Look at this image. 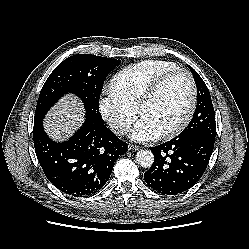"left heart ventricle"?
<instances>
[{
    "label": "left heart ventricle",
    "instance_id": "left-heart-ventricle-1",
    "mask_svg": "<svg viewBox=\"0 0 249 249\" xmlns=\"http://www.w3.org/2000/svg\"><path fill=\"white\" fill-rule=\"evenodd\" d=\"M189 100L188 79L185 74L177 73L166 80L141 116L152 121L163 132L181 120L188 109Z\"/></svg>",
    "mask_w": 249,
    "mask_h": 249
}]
</instances>
